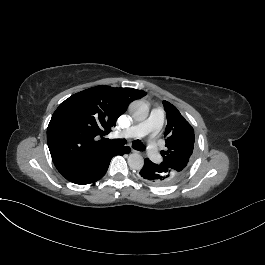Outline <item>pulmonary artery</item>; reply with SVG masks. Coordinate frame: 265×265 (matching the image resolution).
Instances as JSON below:
<instances>
[{
  "instance_id": "obj_1",
  "label": "pulmonary artery",
  "mask_w": 265,
  "mask_h": 265,
  "mask_svg": "<svg viewBox=\"0 0 265 265\" xmlns=\"http://www.w3.org/2000/svg\"><path fill=\"white\" fill-rule=\"evenodd\" d=\"M163 113L159 109H154L150 113L149 120L141 124V126L133 125L130 128H125L123 130L118 129L115 131L114 136L118 140L130 141L134 136L140 137L143 134L147 136L144 140L142 149L145 152H149V157L154 160L155 163L160 164L163 162L164 157L162 152L157 146L152 145L153 139L160 135L162 129L160 127L162 123Z\"/></svg>"
}]
</instances>
